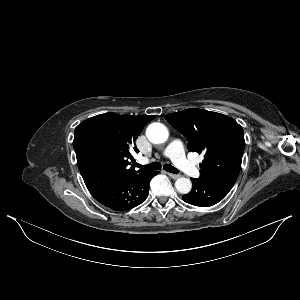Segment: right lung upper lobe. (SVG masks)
I'll return each mask as SVG.
<instances>
[{
  "mask_svg": "<svg viewBox=\"0 0 300 300\" xmlns=\"http://www.w3.org/2000/svg\"><path fill=\"white\" fill-rule=\"evenodd\" d=\"M153 115H118L105 113L84 120L75 128L73 146L77 163L82 157L91 156L102 170V179L88 189L109 185L128 175L143 173L130 166L131 153L139 150L135 140Z\"/></svg>",
  "mask_w": 300,
  "mask_h": 300,
  "instance_id": "1",
  "label": "right lung upper lobe"
}]
</instances>
